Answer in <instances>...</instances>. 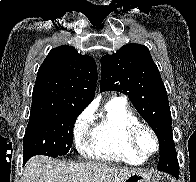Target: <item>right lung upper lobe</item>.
<instances>
[{
    "label": "right lung upper lobe",
    "instance_id": "1",
    "mask_svg": "<svg viewBox=\"0 0 196 182\" xmlns=\"http://www.w3.org/2000/svg\"><path fill=\"white\" fill-rule=\"evenodd\" d=\"M97 67L89 55L72 46L50 51L40 66L33 89L31 110L74 108L83 111L94 99Z\"/></svg>",
    "mask_w": 196,
    "mask_h": 182
}]
</instances>
